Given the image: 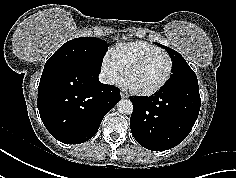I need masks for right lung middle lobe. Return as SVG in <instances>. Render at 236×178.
I'll list each match as a JSON object with an SVG mask.
<instances>
[{"mask_svg": "<svg viewBox=\"0 0 236 178\" xmlns=\"http://www.w3.org/2000/svg\"><path fill=\"white\" fill-rule=\"evenodd\" d=\"M108 51V44L95 37H81L63 44L45 65L62 62L83 63L101 71L103 58Z\"/></svg>", "mask_w": 236, "mask_h": 178, "instance_id": "obj_1", "label": "right lung middle lobe"}]
</instances>
